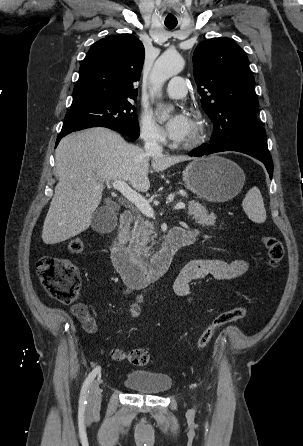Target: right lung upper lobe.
I'll use <instances>...</instances> for the list:
<instances>
[{"label": "right lung upper lobe", "instance_id": "1", "mask_svg": "<svg viewBox=\"0 0 303 446\" xmlns=\"http://www.w3.org/2000/svg\"><path fill=\"white\" fill-rule=\"evenodd\" d=\"M144 55L143 44L132 34L97 41L80 66L71 108L136 99Z\"/></svg>", "mask_w": 303, "mask_h": 446}]
</instances>
